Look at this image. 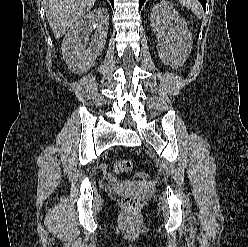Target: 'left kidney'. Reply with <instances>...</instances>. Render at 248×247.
Here are the masks:
<instances>
[{
    "instance_id": "obj_1",
    "label": "left kidney",
    "mask_w": 248,
    "mask_h": 247,
    "mask_svg": "<svg viewBox=\"0 0 248 247\" xmlns=\"http://www.w3.org/2000/svg\"><path fill=\"white\" fill-rule=\"evenodd\" d=\"M151 27L158 39L157 51L161 61L172 68L182 66L193 43L185 20L170 3L162 2L152 9Z\"/></svg>"
}]
</instances>
